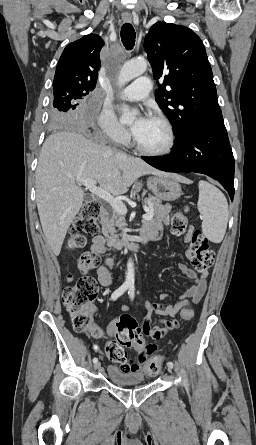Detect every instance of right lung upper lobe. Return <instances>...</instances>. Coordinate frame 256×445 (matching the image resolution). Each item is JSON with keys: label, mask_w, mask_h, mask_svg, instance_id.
<instances>
[{"label": "right lung upper lobe", "mask_w": 256, "mask_h": 445, "mask_svg": "<svg viewBox=\"0 0 256 445\" xmlns=\"http://www.w3.org/2000/svg\"><path fill=\"white\" fill-rule=\"evenodd\" d=\"M104 43L97 34H89L70 43L57 64L53 91L58 94L72 91L87 95L97 82L100 69V50Z\"/></svg>", "instance_id": "cb5924a9"}]
</instances>
